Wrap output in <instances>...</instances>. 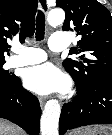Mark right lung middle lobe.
<instances>
[{"label": "right lung middle lobe", "instance_id": "1", "mask_svg": "<svg viewBox=\"0 0 112 135\" xmlns=\"http://www.w3.org/2000/svg\"><path fill=\"white\" fill-rule=\"evenodd\" d=\"M5 61H0V90L8 87L15 79V75H11L8 70H4L2 67Z\"/></svg>", "mask_w": 112, "mask_h": 135}]
</instances>
